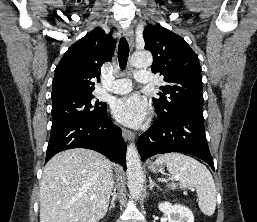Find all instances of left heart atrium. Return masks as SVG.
Returning a JSON list of instances; mask_svg holds the SVG:
<instances>
[{
	"mask_svg": "<svg viewBox=\"0 0 257 222\" xmlns=\"http://www.w3.org/2000/svg\"><path fill=\"white\" fill-rule=\"evenodd\" d=\"M113 113L122 124L138 127L147 115L146 102L136 94L126 95L116 101Z\"/></svg>",
	"mask_w": 257,
	"mask_h": 222,
	"instance_id": "1",
	"label": "left heart atrium"
}]
</instances>
